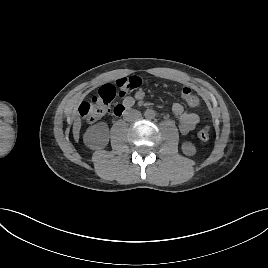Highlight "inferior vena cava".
I'll use <instances>...</instances> for the list:
<instances>
[{"mask_svg":"<svg viewBox=\"0 0 268 268\" xmlns=\"http://www.w3.org/2000/svg\"><path fill=\"white\" fill-rule=\"evenodd\" d=\"M141 117V113L137 110H129L124 114V119L127 121L135 120Z\"/></svg>","mask_w":268,"mask_h":268,"instance_id":"1","label":"inferior vena cava"}]
</instances>
